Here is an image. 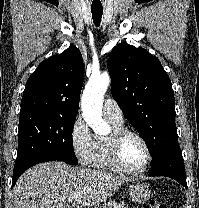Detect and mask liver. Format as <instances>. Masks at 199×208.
Wrapping results in <instances>:
<instances>
[{"instance_id":"liver-1","label":"liver","mask_w":199,"mask_h":208,"mask_svg":"<svg viewBox=\"0 0 199 208\" xmlns=\"http://www.w3.org/2000/svg\"><path fill=\"white\" fill-rule=\"evenodd\" d=\"M128 177L72 167L62 162L40 163L28 169L13 188L15 208H89L110 198ZM72 197V207L66 200Z\"/></svg>"}]
</instances>
